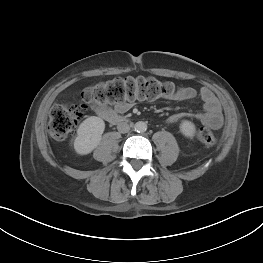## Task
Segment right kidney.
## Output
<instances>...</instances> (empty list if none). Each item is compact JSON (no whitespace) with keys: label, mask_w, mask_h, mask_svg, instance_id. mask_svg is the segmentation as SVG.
<instances>
[{"label":"right kidney","mask_w":263,"mask_h":263,"mask_svg":"<svg viewBox=\"0 0 263 263\" xmlns=\"http://www.w3.org/2000/svg\"><path fill=\"white\" fill-rule=\"evenodd\" d=\"M105 129L104 121L96 116L85 119L77 130L74 140V149L78 154L91 153L100 143Z\"/></svg>","instance_id":"obj_1"}]
</instances>
